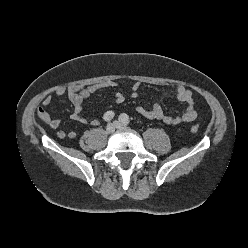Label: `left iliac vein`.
Here are the masks:
<instances>
[{
	"instance_id": "obj_1",
	"label": "left iliac vein",
	"mask_w": 248,
	"mask_h": 248,
	"mask_svg": "<svg viewBox=\"0 0 248 248\" xmlns=\"http://www.w3.org/2000/svg\"><path fill=\"white\" fill-rule=\"evenodd\" d=\"M114 124L116 125L117 129H125L126 128V125L119 122V121H114Z\"/></svg>"
}]
</instances>
